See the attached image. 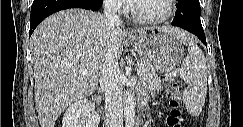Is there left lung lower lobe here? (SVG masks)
Returning a JSON list of instances; mask_svg holds the SVG:
<instances>
[{"label": "left lung lower lobe", "instance_id": "left-lung-lower-lobe-1", "mask_svg": "<svg viewBox=\"0 0 243 127\" xmlns=\"http://www.w3.org/2000/svg\"><path fill=\"white\" fill-rule=\"evenodd\" d=\"M177 8L171 24L195 34L206 46V37L200 21L199 0H180Z\"/></svg>", "mask_w": 243, "mask_h": 127}]
</instances>
